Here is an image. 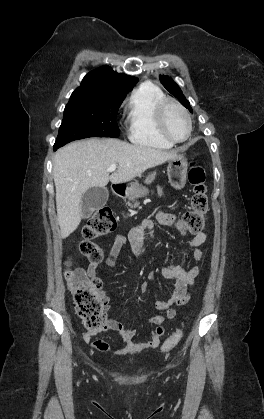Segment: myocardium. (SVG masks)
<instances>
[{"label": "myocardium", "mask_w": 264, "mask_h": 419, "mask_svg": "<svg viewBox=\"0 0 264 419\" xmlns=\"http://www.w3.org/2000/svg\"><path fill=\"white\" fill-rule=\"evenodd\" d=\"M170 106H174L176 107L178 110L181 111V113L185 116L187 123H188V133L186 135V137L184 139L178 140L175 139L174 137H172L168 131L166 130V126H165V114L167 109ZM155 118H156V128L157 131L159 133V135L166 140L167 142L171 143V144H179V143H183L185 141H187L189 139V137L192 134V120L190 117L189 112L186 110V108L179 103L178 101L171 99V98H164L158 105L156 108V114H155Z\"/></svg>", "instance_id": "myocardium-1"}]
</instances>
